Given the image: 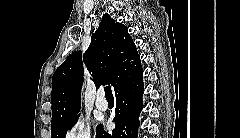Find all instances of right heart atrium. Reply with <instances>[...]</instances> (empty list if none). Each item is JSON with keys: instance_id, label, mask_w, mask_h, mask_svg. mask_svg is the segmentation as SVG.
<instances>
[{"instance_id": "d8ad5b80", "label": "right heart atrium", "mask_w": 240, "mask_h": 138, "mask_svg": "<svg viewBox=\"0 0 240 138\" xmlns=\"http://www.w3.org/2000/svg\"><path fill=\"white\" fill-rule=\"evenodd\" d=\"M91 124L87 120L78 119L65 132V138H91Z\"/></svg>"}]
</instances>
